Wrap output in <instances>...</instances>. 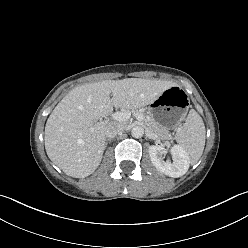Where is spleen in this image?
Here are the masks:
<instances>
[{
	"mask_svg": "<svg viewBox=\"0 0 248 248\" xmlns=\"http://www.w3.org/2000/svg\"><path fill=\"white\" fill-rule=\"evenodd\" d=\"M205 125L200 115L191 109L185 124L177 131L176 140L188 154L191 164L198 162L205 146Z\"/></svg>",
	"mask_w": 248,
	"mask_h": 248,
	"instance_id": "1",
	"label": "spleen"
}]
</instances>
